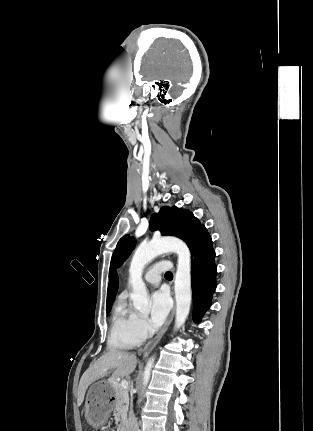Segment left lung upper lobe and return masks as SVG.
<instances>
[{
	"label": "left lung upper lobe",
	"mask_w": 313,
	"mask_h": 431,
	"mask_svg": "<svg viewBox=\"0 0 313 431\" xmlns=\"http://www.w3.org/2000/svg\"><path fill=\"white\" fill-rule=\"evenodd\" d=\"M205 228L187 209L164 206L159 213H154L150 220V230H161L162 235L181 238L189 248L194 244L199 233ZM136 241L130 235L123 236L117 243L111 258V266L119 267L130 255Z\"/></svg>",
	"instance_id": "left-lung-upper-lobe-1"
}]
</instances>
